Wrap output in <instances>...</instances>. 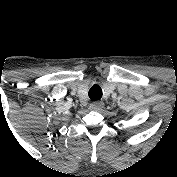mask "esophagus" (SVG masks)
I'll return each instance as SVG.
<instances>
[{
    "label": "esophagus",
    "instance_id": "34e87169",
    "mask_svg": "<svg viewBox=\"0 0 177 177\" xmlns=\"http://www.w3.org/2000/svg\"><path fill=\"white\" fill-rule=\"evenodd\" d=\"M90 109L94 111H99L101 108L104 107V103L101 101H94L90 104Z\"/></svg>",
    "mask_w": 177,
    "mask_h": 177
}]
</instances>
